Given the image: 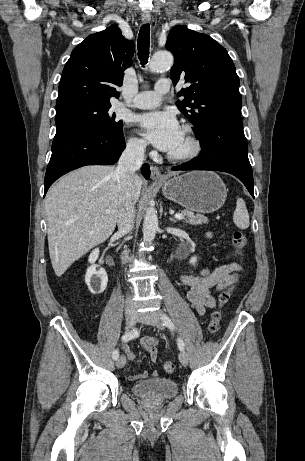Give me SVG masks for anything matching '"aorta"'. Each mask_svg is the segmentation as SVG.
Instances as JSON below:
<instances>
[{"mask_svg":"<svg viewBox=\"0 0 305 461\" xmlns=\"http://www.w3.org/2000/svg\"><path fill=\"white\" fill-rule=\"evenodd\" d=\"M173 65V56L169 52H157L153 55L149 69L151 72L165 70ZM158 230V217L154 208L149 207L146 210L143 222V239L145 242L154 240Z\"/></svg>","mask_w":305,"mask_h":461,"instance_id":"obj_1","label":"aorta"}]
</instances>
